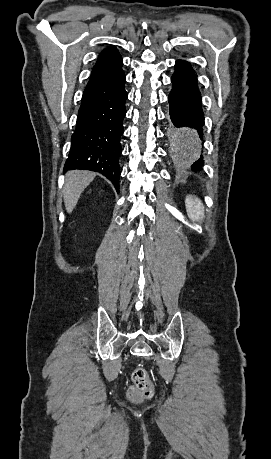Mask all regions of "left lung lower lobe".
I'll list each match as a JSON object with an SVG mask.
<instances>
[{"label": "left lung lower lobe", "mask_w": 271, "mask_h": 459, "mask_svg": "<svg viewBox=\"0 0 271 459\" xmlns=\"http://www.w3.org/2000/svg\"><path fill=\"white\" fill-rule=\"evenodd\" d=\"M170 118L176 127L188 126L198 130L202 136L204 114L201 108V93L198 89L197 73L191 63L176 60L175 72L171 77ZM204 161L199 159L192 165L193 171H200Z\"/></svg>", "instance_id": "0a47b994"}]
</instances>
